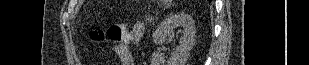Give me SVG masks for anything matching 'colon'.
<instances>
[{"label":"colon","instance_id":"obj_1","mask_svg":"<svg viewBox=\"0 0 309 65\" xmlns=\"http://www.w3.org/2000/svg\"><path fill=\"white\" fill-rule=\"evenodd\" d=\"M127 31L126 24L114 23L105 29L90 31L89 36L95 42H106L109 44H114L121 42Z\"/></svg>","mask_w":309,"mask_h":65}]
</instances>
